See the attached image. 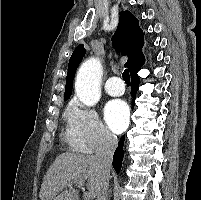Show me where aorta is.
I'll return each instance as SVG.
<instances>
[{
  "mask_svg": "<svg viewBox=\"0 0 201 200\" xmlns=\"http://www.w3.org/2000/svg\"><path fill=\"white\" fill-rule=\"evenodd\" d=\"M102 65L98 58L86 60L78 70L75 92L79 100L86 106H94L100 99V83Z\"/></svg>",
  "mask_w": 201,
  "mask_h": 200,
  "instance_id": "1",
  "label": "aorta"
}]
</instances>
